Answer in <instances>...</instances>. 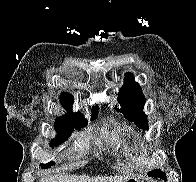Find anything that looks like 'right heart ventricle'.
Returning a JSON list of instances; mask_svg holds the SVG:
<instances>
[{
	"mask_svg": "<svg viewBox=\"0 0 196 182\" xmlns=\"http://www.w3.org/2000/svg\"><path fill=\"white\" fill-rule=\"evenodd\" d=\"M113 131L118 136H122L123 135V130L121 128H114Z\"/></svg>",
	"mask_w": 196,
	"mask_h": 182,
	"instance_id": "1",
	"label": "right heart ventricle"
}]
</instances>
